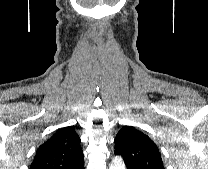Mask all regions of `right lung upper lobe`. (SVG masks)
<instances>
[{
  "label": "right lung upper lobe",
  "instance_id": "1",
  "mask_svg": "<svg viewBox=\"0 0 208 169\" xmlns=\"http://www.w3.org/2000/svg\"><path fill=\"white\" fill-rule=\"evenodd\" d=\"M83 163L78 134L64 127L38 148L30 169H75Z\"/></svg>",
  "mask_w": 208,
  "mask_h": 169
}]
</instances>
